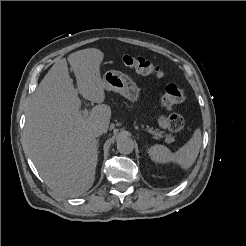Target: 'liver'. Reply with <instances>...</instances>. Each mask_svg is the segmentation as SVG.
I'll return each instance as SVG.
<instances>
[{
    "mask_svg": "<svg viewBox=\"0 0 246 246\" xmlns=\"http://www.w3.org/2000/svg\"><path fill=\"white\" fill-rule=\"evenodd\" d=\"M104 54L95 48L68 56L78 88L69 76L67 60L57 61L37 87L26 112L24 144L45 183L55 192L77 197L94 183L97 141L91 130L107 129L111 109L103 104L100 65ZM80 93L97 103L87 117L81 114Z\"/></svg>",
    "mask_w": 246,
    "mask_h": 246,
    "instance_id": "6515ba94",
    "label": "liver"
}]
</instances>
